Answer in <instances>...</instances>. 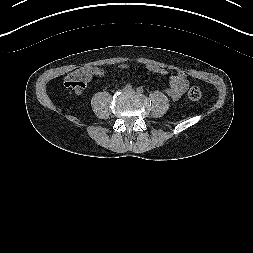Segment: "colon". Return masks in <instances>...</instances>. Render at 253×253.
<instances>
[{
  "label": "colon",
  "instance_id": "5ec220e1",
  "mask_svg": "<svg viewBox=\"0 0 253 253\" xmlns=\"http://www.w3.org/2000/svg\"><path fill=\"white\" fill-rule=\"evenodd\" d=\"M93 69L90 67H82L71 73L66 81L65 86L77 91H83L88 81L91 79ZM202 97V91L199 87L193 86L188 91V98L192 101H198Z\"/></svg>",
  "mask_w": 253,
  "mask_h": 253
}]
</instances>
